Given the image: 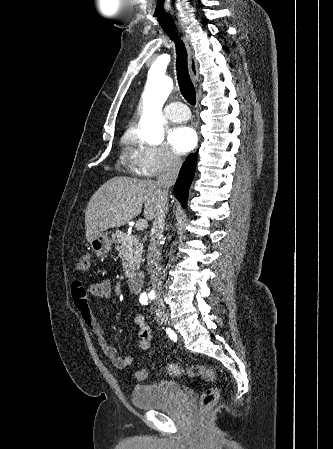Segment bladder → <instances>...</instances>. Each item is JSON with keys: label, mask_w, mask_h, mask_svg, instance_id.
Listing matches in <instances>:
<instances>
[{"label": "bladder", "mask_w": 333, "mask_h": 449, "mask_svg": "<svg viewBox=\"0 0 333 449\" xmlns=\"http://www.w3.org/2000/svg\"><path fill=\"white\" fill-rule=\"evenodd\" d=\"M181 393V385L173 380L138 385L132 391V404L141 410H159L172 406Z\"/></svg>", "instance_id": "bladder-1"}]
</instances>
